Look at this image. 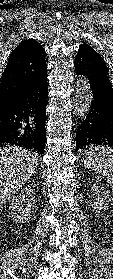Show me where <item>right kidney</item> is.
Masks as SVG:
<instances>
[{
  "label": "right kidney",
  "mask_w": 113,
  "mask_h": 279,
  "mask_svg": "<svg viewBox=\"0 0 113 279\" xmlns=\"http://www.w3.org/2000/svg\"><path fill=\"white\" fill-rule=\"evenodd\" d=\"M35 196L36 193L32 186H27L13 197L9 206L10 217L13 221L22 224L30 220L36 202Z\"/></svg>",
  "instance_id": "right-kidney-1"
}]
</instances>
